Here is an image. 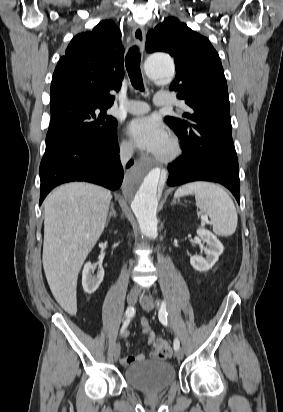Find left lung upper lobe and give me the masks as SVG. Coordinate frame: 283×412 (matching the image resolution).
Returning a JSON list of instances; mask_svg holds the SVG:
<instances>
[{"label": "left lung upper lobe", "mask_w": 283, "mask_h": 412, "mask_svg": "<svg viewBox=\"0 0 283 412\" xmlns=\"http://www.w3.org/2000/svg\"><path fill=\"white\" fill-rule=\"evenodd\" d=\"M145 48L150 53L167 52L175 60L176 77L170 89L178 92L189 112L183 114L186 120L166 117L168 126L177 135L200 137L211 159L238 165L226 79L209 40L177 18H168L148 32Z\"/></svg>", "instance_id": "5c2ea615"}]
</instances>
